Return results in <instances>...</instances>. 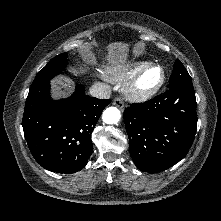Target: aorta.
<instances>
[{
  "label": "aorta",
  "mask_w": 221,
  "mask_h": 221,
  "mask_svg": "<svg viewBox=\"0 0 221 221\" xmlns=\"http://www.w3.org/2000/svg\"><path fill=\"white\" fill-rule=\"evenodd\" d=\"M121 118V112L116 107H109L102 114L103 122L106 124H116Z\"/></svg>",
  "instance_id": "obj_1"
}]
</instances>
